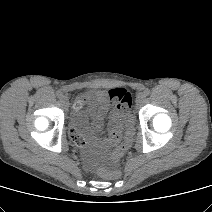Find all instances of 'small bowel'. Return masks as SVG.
<instances>
[{
    "label": "small bowel",
    "instance_id": "1",
    "mask_svg": "<svg viewBox=\"0 0 212 212\" xmlns=\"http://www.w3.org/2000/svg\"><path fill=\"white\" fill-rule=\"evenodd\" d=\"M110 91L108 93H98L95 98V104H93L89 109L88 118L92 120V130L95 133H100L103 130L104 120L109 112V106L107 104L108 99L114 102L110 98ZM119 122L120 113L118 111H112L109 114L108 134L103 141V145L105 147H111L120 142L122 133ZM72 134L82 140V137L78 131L73 130Z\"/></svg>",
    "mask_w": 212,
    "mask_h": 212
}]
</instances>
